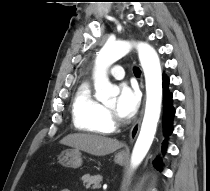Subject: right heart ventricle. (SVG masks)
Returning a JSON list of instances; mask_svg holds the SVG:
<instances>
[{"label": "right heart ventricle", "mask_w": 210, "mask_h": 191, "mask_svg": "<svg viewBox=\"0 0 210 191\" xmlns=\"http://www.w3.org/2000/svg\"><path fill=\"white\" fill-rule=\"evenodd\" d=\"M76 129L90 134H108L113 130L108 111L92 94L89 83L78 88L72 103Z\"/></svg>", "instance_id": "right-heart-ventricle-1"}]
</instances>
